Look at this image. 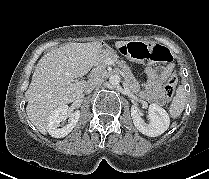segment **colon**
<instances>
[{
  "instance_id": "5ec220e1",
  "label": "colon",
  "mask_w": 209,
  "mask_h": 179,
  "mask_svg": "<svg viewBox=\"0 0 209 179\" xmlns=\"http://www.w3.org/2000/svg\"><path fill=\"white\" fill-rule=\"evenodd\" d=\"M120 52L128 59L141 63H155L170 61L171 56L169 51L159 45H147L142 42H131L120 47ZM177 84V76L171 74L164 86V95L167 100H170L174 93Z\"/></svg>"
}]
</instances>
